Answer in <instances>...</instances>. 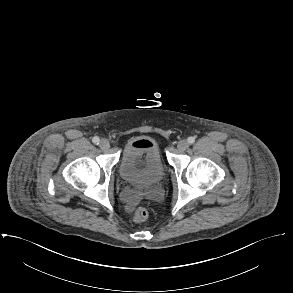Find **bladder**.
I'll return each mask as SVG.
<instances>
[{
  "mask_svg": "<svg viewBox=\"0 0 293 293\" xmlns=\"http://www.w3.org/2000/svg\"><path fill=\"white\" fill-rule=\"evenodd\" d=\"M123 181L133 186H155L165 175V165L158 145L151 141L125 146L119 165Z\"/></svg>",
  "mask_w": 293,
  "mask_h": 293,
  "instance_id": "bladder-1",
  "label": "bladder"
}]
</instances>
